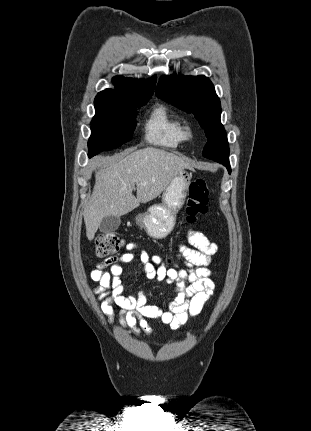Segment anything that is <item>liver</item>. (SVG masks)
<instances>
[{
    "mask_svg": "<svg viewBox=\"0 0 311 431\" xmlns=\"http://www.w3.org/2000/svg\"><path fill=\"white\" fill-rule=\"evenodd\" d=\"M134 150H125V156L119 154L106 170L95 174L94 190L83 214L90 241L103 217L129 214L140 204L158 198L178 172L192 170L185 160L164 150Z\"/></svg>",
    "mask_w": 311,
    "mask_h": 431,
    "instance_id": "liver-1",
    "label": "liver"
}]
</instances>
